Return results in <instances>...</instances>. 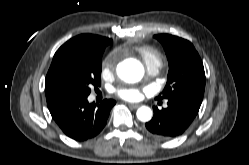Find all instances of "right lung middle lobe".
<instances>
[{"instance_id":"obj_1","label":"right lung middle lobe","mask_w":249,"mask_h":165,"mask_svg":"<svg viewBox=\"0 0 249 165\" xmlns=\"http://www.w3.org/2000/svg\"><path fill=\"white\" fill-rule=\"evenodd\" d=\"M104 48L82 44L60 47L55 53L50 83L58 94L88 96L91 86L101 85Z\"/></svg>"}]
</instances>
